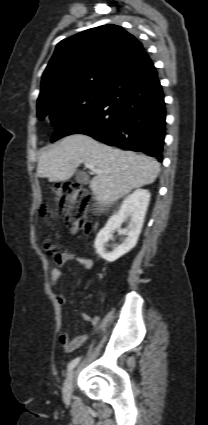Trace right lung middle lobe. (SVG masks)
<instances>
[{"label": "right lung middle lobe", "instance_id": "1", "mask_svg": "<svg viewBox=\"0 0 208 425\" xmlns=\"http://www.w3.org/2000/svg\"><path fill=\"white\" fill-rule=\"evenodd\" d=\"M106 89H83L60 97L37 102V117L58 124L65 117L95 106L105 96Z\"/></svg>", "mask_w": 208, "mask_h": 425}]
</instances>
